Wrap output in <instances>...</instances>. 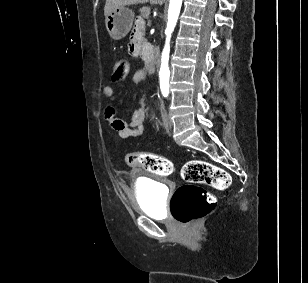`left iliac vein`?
Returning <instances> with one entry per match:
<instances>
[{
    "instance_id": "4c4485c4",
    "label": "left iliac vein",
    "mask_w": 308,
    "mask_h": 283,
    "mask_svg": "<svg viewBox=\"0 0 308 283\" xmlns=\"http://www.w3.org/2000/svg\"><path fill=\"white\" fill-rule=\"evenodd\" d=\"M164 125L167 129L171 126V121L169 120L167 114L164 116Z\"/></svg>"
}]
</instances>
